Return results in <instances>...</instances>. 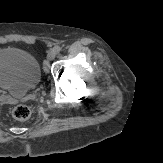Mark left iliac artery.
<instances>
[{
  "mask_svg": "<svg viewBox=\"0 0 163 163\" xmlns=\"http://www.w3.org/2000/svg\"><path fill=\"white\" fill-rule=\"evenodd\" d=\"M53 49L55 50L56 53H59L61 50V47L59 45H57Z\"/></svg>",
  "mask_w": 163,
  "mask_h": 163,
  "instance_id": "1",
  "label": "left iliac artery"
}]
</instances>
